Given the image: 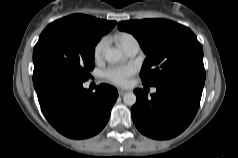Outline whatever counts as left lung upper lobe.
Listing matches in <instances>:
<instances>
[{"label": "left lung upper lobe", "mask_w": 238, "mask_h": 158, "mask_svg": "<svg viewBox=\"0 0 238 158\" xmlns=\"http://www.w3.org/2000/svg\"><path fill=\"white\" fill-rule=\"evenodd\" d=\"M118 28L138 40L147 58L140 72L145 86L173 76L205 71L202 45L187 27L166 19L129 20Z\"/></svg>", "instance_id": "1"}]
</instances>
